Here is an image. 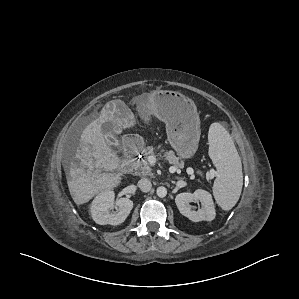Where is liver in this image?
Instances as JSON below:
<instances>
[{"instance_id":"6515ba94","label":"liver","mask_w":299,"mask_h":299,"mask_svg":"<svg viewBox=\"0 0 299 299\" xmlns=\"http://www.w3.org/2000/svg\"><path fill=\"white\" fill-rule=\"evenodd\" d=\"M111 122L114 130L134 126L133 114L121 100H113L105 105L99 117L83 130L74 160L67 172L69 192L77 205L87 203L96 194L117 187L121 178L111 173L119 167V157L105 141L102 125Z\"/></svg>"}]
</instances>
